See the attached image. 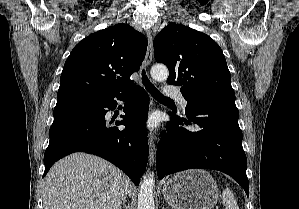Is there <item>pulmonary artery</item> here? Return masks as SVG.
Returning a JSON list of instances; mask_svg holds the SVG:
<instances>
[{"mask_svg":"<svg viewBox=\"0 0 299 209\" xmlns=\"http://www.w3.org/2000/svg\"><path fill=\"white\" fill-rule=\"evenodd\" d=\"M164 93L166 96L178 100L182 107H186L187 101L179 89L172 86H166L164 89Z\"/></svg>","mask_w":299,"mask_h":209,"instance_id":"e3ab8cb5","label":"pulmonary artery"}]
</instances>
